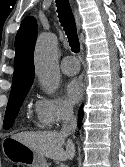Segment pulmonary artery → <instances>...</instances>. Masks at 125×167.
<instances>
[{
  "mask_svg": "<svg viewBox=\"0 0 125 167\" xmlns=\"http://www.w3.org/2000/svg\"><path fill=\"white\" fill-rule=\"evenodd\" d=\"M60 69L66 75H75L80 70V64L74 56H65L60 62Z\"/></svg>",
  "mask_w": 125,
  "mask_h": 167,
  "instance_id": "obj_1",
  "label": "pulmonary artery"
}]
</instances>
